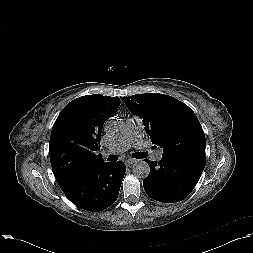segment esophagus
<instances>
[{
  "label": "esophagus",
  "mask_w": 253,
  "mask_h": 253,
  "mask_svg": "<svg viewBox=\"0 0 253 253\" xmlns=\"http://www.w3.org/2000/svg\"><path fill=\"white\" fill-rule=\"evenodd\" d=\"M136 160L133 158H129L125 161L126 166L132 165Z\"/></svg>",
  "instance_id": "1"
}]
</instances>
